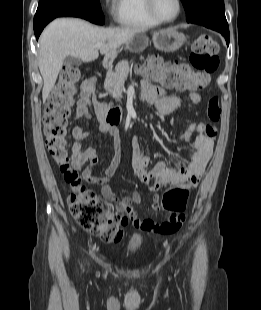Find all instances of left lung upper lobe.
<instances>
[{
  "label": "left lung upper lobe",
  "instance_id": "left-lung-upper-lobe-1",
  "mask_svg": "<svg viewBox=\"0 0 261 310\" xmlns=\"http://www.w3.org/2000/svg\"><path fill=\"white\" fill-rule=\"evenodd\" d=\"M186 11L187 22L201 23L211 21L227 24L224 0H181Z\"/></svg>",
  "mask_w": 261,
  "mask_h": 310
}]
</instances>
